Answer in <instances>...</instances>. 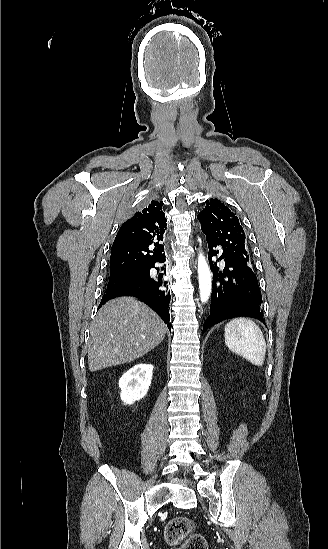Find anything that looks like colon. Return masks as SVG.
Instances as JSON below:
<instances>
[{
	"instance_id": "1",
	"label": "colon",
	"mask_w": 328,
	"mask_h": 549,
	"mask_svg": "<svg viewBox=\"0 0 328 549\" xmlns=\"http://www.w3.org/2000/svg\"><path fill=\"white\" fill-rule=\"evenodd\" d=\"M195 525L187 517L173 518L165 529V540L178 549H207L205 538L194 532Z\"/></svg>"
}]
</instances>
